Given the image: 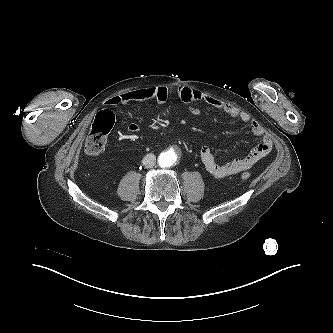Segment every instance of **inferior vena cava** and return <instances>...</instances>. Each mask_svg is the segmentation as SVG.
I'll return each instance as SVG.
<instances>
[{"label":"inferior vena cava","mask_w":333,"mask_h":333,"mask_svg":"<svg viewBox=\"0 0 333 333\" xmlns=\"http://www.w3.org/2000/svg\"><path fill=\"white\" fill-rule=\"evenodd\" d=\"M142 163L145 168H152L156 163V156L152 153H149L144 156Z\"/></svg>","instance_id":"inferior-vena-cava-1"}]
</instances>
